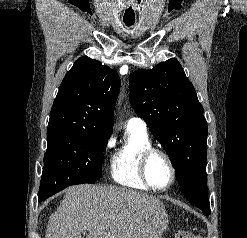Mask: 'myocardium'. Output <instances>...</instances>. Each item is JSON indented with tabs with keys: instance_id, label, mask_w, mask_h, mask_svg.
I'll use <instances>...</instances> for the list:
<instances>
[{
	"instance_id": "1",
	"label": "myocardium",
	"mask_w": 247,
	"mask_h": 238,
	"mask_svg": "<svg viewBox=\"0 0 247 238\" xmlns=\"http://www.w3.org/2000/svg\"><path fill=\"white\" fill-rule=\"evenodd\" d=\"M155 154L161 155L162 157L165 158V160L167 161L170 170H171V179L169 181V183L166 186L163 187H156L154 186L149 178H148V174H147V166L149 163V160L151 159V157ZM139 172H140V176L143 180V182L147 185L148 188L152 189V190H156V191H164L169 189L175 182L176 180V176H177V171H176V166L175 163L172 159V157L170 156V154L165 151L164 149L158 148V147H149L147 148L141 158H140V162H139Z\"/></svg>"
}]
</instances>
